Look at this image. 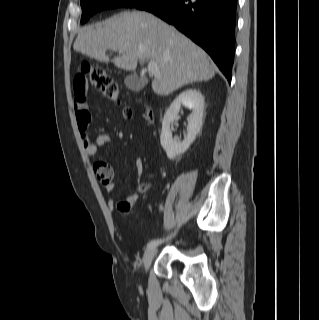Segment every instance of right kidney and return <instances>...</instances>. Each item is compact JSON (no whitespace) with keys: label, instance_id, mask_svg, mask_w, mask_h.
Returning <instances> with one entry per match:
<instances>
[{"label":"right kidney","instance_id":"obj_1","mask_svg":"<svg viewBox=\"0 0 319 320\" xmlns=\"http://www.w3.org/2000/svg\"><path fill=\"white\" fill-rule=\"evenodd\" d=\"M182 106H186L192 110V114L188 120L187 135L183 142H177L172 139L170 125L177 118ZM204 97L196 89H187L180 93L170 107L166 111L160 135V143L170 160L183 154L188 150L190 145L200 132L203 125Z\"/></svg>","mask_w":319,"mask_h":320}]
</instances>
